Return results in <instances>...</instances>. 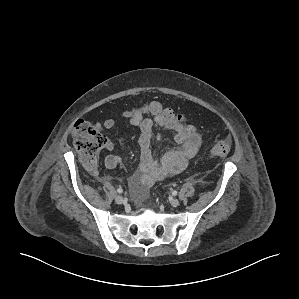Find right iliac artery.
Instances as JSON below:
<instances>
[{
    "label": "right iliac artery",
    "instance_id": "obj_1",
    "mask_svg": "<svg viewBox=\"0 0 299 299\" xmlns=\"http://www.w3.org/2000/svg\"><path fill=\"white\" fill-rule=\"evenodd\" d=\"M117 192H118V193H123V189L118 188V189H117Z\"/></svg>",
    "mask_w": 299,
    "mask_h": 299
}]
</instances>
